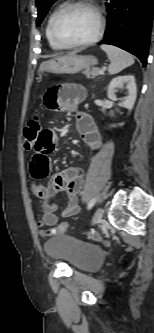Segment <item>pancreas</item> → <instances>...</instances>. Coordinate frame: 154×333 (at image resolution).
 Listing matches in <instances>:
<instances>
[{
	"mask_svg": "<svg viewBox=\"0 0 154 333\" xmlns=\"http://www.w3.org/2000/svg\"><path fill=\"white\" fill-rule=\"evenodd\" d=\"M84 74L88 77V78H94L96 76H98L100 73H99V70L98 69H87Z\"/></svg>",
	"mask_w": 154,
	"mask_h": 333,
	"instance_id": "cf45deb5",
	"label": "pancreas"
}]
</instances>
